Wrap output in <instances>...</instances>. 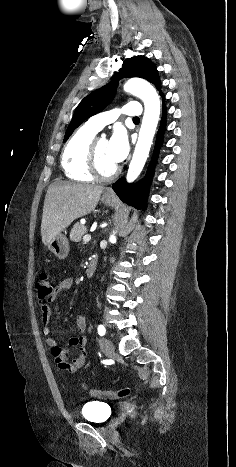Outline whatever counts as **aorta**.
I'll return each instance as SVG.
<instances>
[{"label": "aorta", "instance_id": "762f6f07", "mask_svg": "<svg viewBox=\"0 0 236 467\" xmlns=\"http://www.w3.org/2000/svg\"><path fill=\"white\" fill-rule=\"evenodd\" d=\"M124 91L139 97L145 106L138 141L126 176L131 183L140 175L148 158L159 121L160 100L154 87L143 79H129L124 84ZM110 240H115L114 234L110 236Z\"/></svg>", "mask_w": 236, "mask_h": 467}]
</instances>
